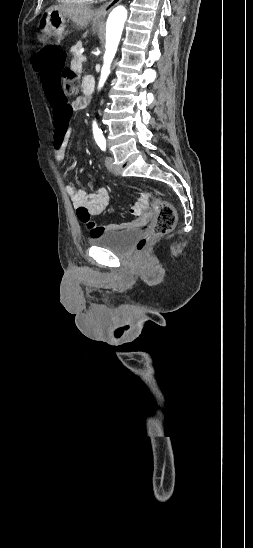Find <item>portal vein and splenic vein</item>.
Returning <instances> with one entry per match:
<instances>
[{
	"label": "portal vein and splenic vein",
	"mask_w": 253,
	"mask_h": 548,
	"mask_svg": "<svg viewBox=\"0 0 253 548\" xmlns=\"http://www.w3.org/2000/svg\"><path fill=\"white\" fill-rule=\"evenodd\" d=\"M81 61H86V57L82 55Z\"/></svg>",
	"instance_id": "portal-vein-and-splenic-vein-1"
}]
</instances>
